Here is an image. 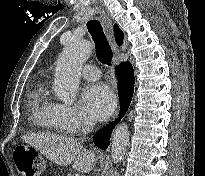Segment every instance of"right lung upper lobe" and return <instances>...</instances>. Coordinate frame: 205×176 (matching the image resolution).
Listing matches in <instances>:
<instances>
[{
  "mask_svg": "<svg viewBox=\"0 0 205 176\" xmlns=\"http://www.w3.org/2000/svg\"><path fill=\"white\" fill-rule=\"evenodd\" d=\"M114 33H115V39L118 45H121L123 42V32L118 27L117 24L114 25Z\"/></svg>",
  "mask_w": 205,
  "mask_h": 176,
  "instance_id": "right-lung-upper-lobe-1",
  "label": "right lung upper lobe"
}]
</instances>
